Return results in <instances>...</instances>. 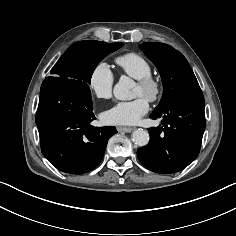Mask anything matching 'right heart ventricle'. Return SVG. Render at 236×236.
<instances>
[{"instance_id":"e07e8e85","label":"right heart ventricle","mask_w":236,"mask_h":236,"mask_svg":"<svg viewBox=\"0 0 236 236\" xmlns=\"http://www.w3.org/2000/svg\"><path fill=\"white\" fill-rule=\"evenodd\" d=\"M116 63L126 75L134 79H139L152 73V67L148 60L135 52L118 56Z\"/></svg>"}]
</instances>
